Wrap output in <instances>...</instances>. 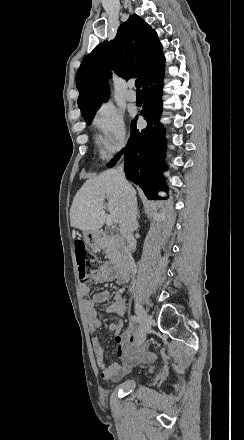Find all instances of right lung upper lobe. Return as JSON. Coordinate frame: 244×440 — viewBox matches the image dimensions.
<instances>
[{
    "label": "right lung upper lobe",
    "mask_w": 244,
    "mask_h": 440,
    "mask_svg": "<svg viewBox=\"0 0 244 440\" xmlns=\"http://www.w3.org/2000/svg\"><path fill=\"white\" fill-rule=\"evenodd\" d=\"M113 70L126 80H144L164 65L162 46L156 32L134 14L120 25L112 41L100 43L85 56L76 75L81 112L99 107L109 94L108 79Z\"/></svg>",
    "instance_id": "obj_1"
}]
</instances>
